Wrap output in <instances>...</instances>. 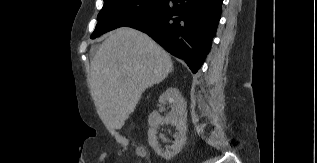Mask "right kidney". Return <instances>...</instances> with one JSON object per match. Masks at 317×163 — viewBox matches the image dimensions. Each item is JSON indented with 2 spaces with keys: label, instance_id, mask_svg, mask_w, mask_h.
Masks as SVG:
<instances>
[{
  "label": "right kidney",
  "instance_id": "ca27d5eb",
  "mask_svg": "<svg viewBox=\"0 0 317 163\" xmlns=\"http://www.w3.org/2000/svg\"><path fill=\"white\" fill-rule=\"evenodd\" d=\"M166 102L171 104V111L165 118L161 117L157 111H153L149 115L148 141L150 146L159 156L166 160H170L181 151L186 142L187 105L179 90L172 87L168 88L159 97V103L164 104ZM162 121L166 124L175 126L177 130L174 134L175 141L173 142V145L166 150L160 148L156 137L157 125Z\"/></svg>",
  "mask_w": 317,
  "mask_h": 163
}]
</instances>
